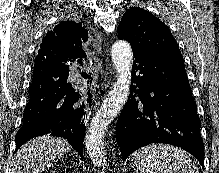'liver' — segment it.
I'll list each match as a JSON object with an SVG mask.
<instances>
[{
    "label": "liver",
    "mask_w": 219,
    "mask_h": 173,
    "mask_svg": "<svg viewBox=\"0 0 219 173\" xmlns=\"http://www.w3.org/2000/svg\"><path fill=\"white\" fill-rule=\"evenodd\" d=\"M70 150V144L62 138L40 136L17 151L12 173H41Z\"/></svg>",
    "instance_id": "6515ba94"
}]
</instances>
